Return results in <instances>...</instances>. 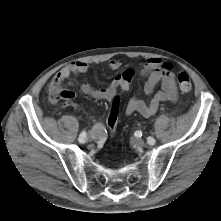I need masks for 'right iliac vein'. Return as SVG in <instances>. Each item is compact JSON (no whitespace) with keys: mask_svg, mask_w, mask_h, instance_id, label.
I'll list each match as a JSON object with an SVG mask.
<instances>
[{"mask_svg":"<svg viewBox=\"0 0 221 221\" xmlns=\"http://www.w3.org/2000/svg\"><path fill=\"white\" fill-rule=\"evenodd\" d=\"M97 139V135L94 132L88 133V140L89 141H95Z\"/></svg>","mask_w":221,"mask_h":221,"instance_id":"obj_1","label":"right iliac vein"}]
</instances>
